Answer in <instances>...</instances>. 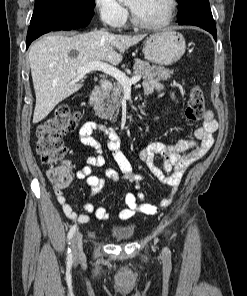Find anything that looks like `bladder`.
<instances>
[{"instance_id":"31cf9c89","label":"bladder","mask_w":247,"mask_h":296,"mask_svg":"<svg viewBox=\"0 0 247 296\" xmlns=\"http://www.w3.org/2000/svg\"><path fill=\"white\" fill-rule=\"evenodd\" d=\"M134 234L133 227H115L112 230V236L117 241H127L129 240Z\"/></svg>"}]
</instances>
